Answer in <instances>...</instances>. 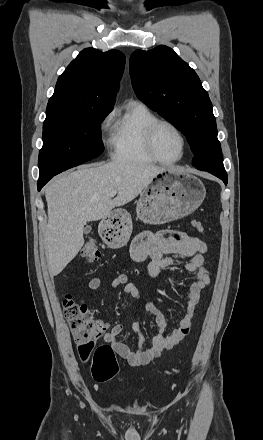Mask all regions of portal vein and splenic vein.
<instances>
[{
  "label": "portal vein and splenic vein",
  "mask_w": 263,
  "mask_h": 440,
  "mask_svg": "<svg viewBox=\"0 0 263 440\" xmlns=\"http://www.w3.org/2000/svg\"><path fill=\"white\" fill-rule=\"evenodd\" d=\"M116 194H117V191H112V192L110 193V197H114Z\"/></svg>",
  "instance_id": "obj_1"
}]
</instances>
